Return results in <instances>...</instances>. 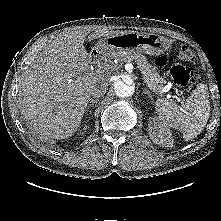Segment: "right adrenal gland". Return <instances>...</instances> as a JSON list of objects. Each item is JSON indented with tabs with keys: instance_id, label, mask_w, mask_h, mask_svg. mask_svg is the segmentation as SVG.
Here are the masks:
<instances>
[{
	"instance_id": "2a0ac1e0",
	"label": "right adrenal gland",
	"mask_w": 221,
	"mask_h": 221,
	"mask_svg": "<svg viewBox=\"0 0 221 221\" xmlns=\"http://www.w3.org/2000/svg\"><path fill=\"white\" fill-rule=\"evenodd\" d=\"M98 101H99L98 98H97V99H91V100H90V104L88 105L86 112L89 111L88 109H89L90 107H94V105H96V104L98 103ZM90 113H92V111H90Z\"/></svg>"
}]
</instances>
